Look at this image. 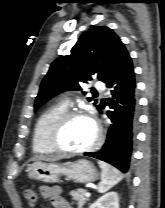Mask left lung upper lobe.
Listing matches in <instances>:
<instances>
[{
    "label": "left lung upper lobe",
    "instance_id": "obj_1",
    "mask_svg": "<svg viewBox=\"0 0 165 208\" xmlns=\"http://www.w3.org/2000/svg\"><path fill=\"white\" fill-rule=\"evenodd\" d=\"M128 55L124 44L112 29L106 26L90 28L81 35L70 55L58 58L51 64L40 85L35 110L58 93L82 90L80 84L91 81L92 77L105 83ZM99 107L96 106L97 109Z\"/></svg>",
    "mask_w": 165,
    "mask_h": 208
}]
</instances>
